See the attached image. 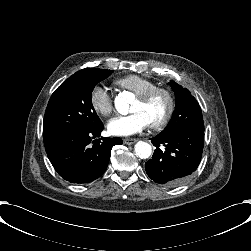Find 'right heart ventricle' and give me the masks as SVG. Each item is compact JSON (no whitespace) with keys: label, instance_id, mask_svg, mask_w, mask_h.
<instances>
[{"label":"right heart ventricle","instance_id":"right-heart-ventricle-1","mask_svg":"<svg viewBox=\"0 0 251 251\" xmlns=\"http://www.w3.org/2000/svg\"><path fill=\"white\" fill-rule=\"evenodd\" d=\"M116 84L132 91L136 95H139L156 85L149 78L137 74H129L119 78L116 80Z\"/></svg>","mask_w":251,"mask_h":251}]
</instances>
